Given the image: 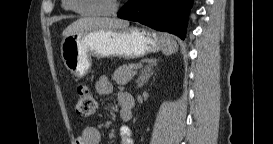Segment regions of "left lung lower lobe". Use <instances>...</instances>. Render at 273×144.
<instances>
[{
	"instance_id": "obj_1",
	"label": "left lung lower lobe",
	"mask_w": 273,
	"mask_h": 144,
	"mask_svg": "<svg viewBox=\"0 0 273 144\" xmlns=\"http://www.w3.org/2000/svg\"><path fill=\"white\" fill-rule=\"evenodd\" d=\"M193 0H129L118 17L137 21L184 39Z\"/></svg>"
}]
</instances>
